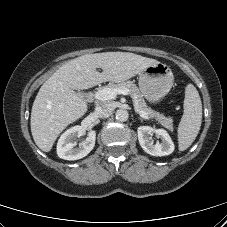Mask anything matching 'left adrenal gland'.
<instances>
[{"label":"left adrenal gland","instance_id":"obj_1","mask_svg":"<svg viewBox=\"0 0 227 227\" xmlns=\"http://www.w3.org/2000/svg\"><path fill=\"white\" fill-rule=\"evenodd\" d=\"M139 118V120H141V122L143 121V119L142 118H140V117H138Z\"/></svg>","mask_w":227,"mask_h":227}]
</instances>
